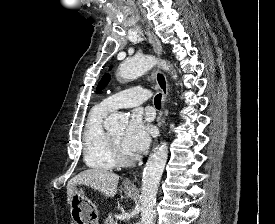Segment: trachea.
<instances>
[{"label":"trachea","instance_id":"3493384b","mask_svg":"<svg viewBox=\"0 0 275 224\" xmlns=\"http://www.w3.org/2000/svg\"><path fill=\"white\" fill-rule=\"evenodd\" d=\"M154 104L157 108L161 106V94H157L154 98Z\"/></svg>","mask_w":275,"mask_h":224}]
</instances>
